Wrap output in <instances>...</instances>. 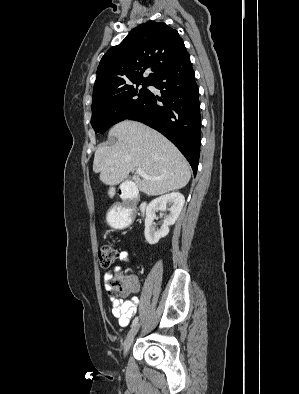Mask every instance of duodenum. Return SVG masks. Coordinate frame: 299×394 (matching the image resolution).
<instances>
[{
  "instance_id": "410a0bca",
  "label": "duodenum",
  "mask_w": 299,
  "mask_h": 394,
  "mask_svg": "<svg viewBox=\"0 0 299 394\" xmlns=\"http://www.w3.org/2000/svg\"><path fill=\"white\" fill-rule=\"evenodd\" d=\"M120 196L123 199V204H122V211L120 213V219L122 221H129L133 219V210H134V204L137 201V196L135 193L132 191L130 187H122L120 190ZM146 208V203L142 202L139 205V211H144Z\"/></svg>"
}]
</instances>
